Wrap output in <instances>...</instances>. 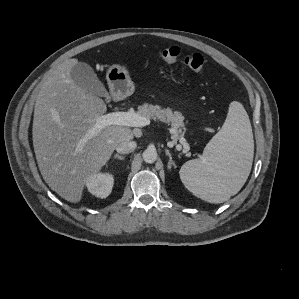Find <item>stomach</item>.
<instances>
[{"mask_svg":"<svg viewBox=\"0 0 299 299\" xmlns=\"http://www.w3.org/2000/svg\"><path fill=\"white\" fill-rule=\"evenodd\" d=\"M106 78L114 97L124 98L133 93L134 84L125 66L112 65L107 71Z\"/></svg>","mask_w":299,"mask_h":299,"instance_id":"0dacf381","label":"stomach"}]
</instances>
